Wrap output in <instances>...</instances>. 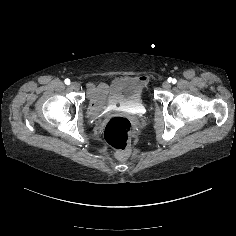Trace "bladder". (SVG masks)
<instances>
[{"instance_id":"obj_1","label":"bladder","mask_w":236,"mask_h":236,"mask_svg":"<svg viewBox=\"0 0 236 236\" xmlns=\"http://www.w3.org/2000/svg\"><path fill=\"white\" fill-rule=\"evenodd\" d=\"M147 84L139 77L118 76L106 86V100L119 105H132L140 102Z\"/></svg>"}]
</instances>
